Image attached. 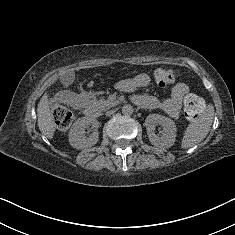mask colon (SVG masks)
Segmentation results:
<instances>
[{"mask_svg": "<svg viewBox=\"0 0 235 235\" xmlns=\"http://www.w3.org/2000/svg\"><path fill=\"white\" fill-rule=\"evenodd\" d=\"M176 80V73L168 68H158L155 72V81L159 87H169ZM204 109L203 100L194 94H189L184 100V115L188 120H195ZM52 116L56 127L61 132H66L72 121L73 114L66 107L54 103L52 106Z\"/></svg>", "mask_w": 235, "mask_h": 235, "instance_id": "5ec220e1", "label": "colon"}]
</instances>
